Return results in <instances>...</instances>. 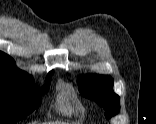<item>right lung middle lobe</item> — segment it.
<instances>
[{"mask_svg":"<svg viewBox=\"0 0 156 124\" xmlns=\"http://www.w3.org/2000/svg\"><path fill=\"white\" fill-rule=\"evenodd\" d=\"M50 77L40 89L32 78L0 75V124H14L38 108L49 89Z\"/></svg>","mask_w":156,"mask_h":124,"instance_id":"dd1d6c3e","label":"right lung middle lobe"}]
</instances>
